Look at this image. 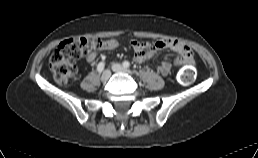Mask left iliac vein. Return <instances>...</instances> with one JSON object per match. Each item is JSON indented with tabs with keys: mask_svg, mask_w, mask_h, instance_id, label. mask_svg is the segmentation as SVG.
Listing matches in <instances>:
<instances>
[{
	"mask_svg": "<svg viewBox=\"0 0 258 158\" xmlns=\"http://www.w3.org/2000/svg\"><path fill=\"white\" fill-rule=\"evenodd\" d=\"M112 70L114 72H123V73H127V74H132V71H130L129 69L123 67L122 65H120L118 63H114L112 65Z\"/></svg>",
	"mask_w": 258,
	"mask_h": 158,
	"instance_id": "obj_1",
	"label": "left iliac vein"
}]
</instances>
